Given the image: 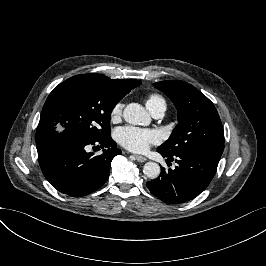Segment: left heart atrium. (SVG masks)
<instances>
[{
    "label": "left heart atrium",
    "instance_id": "1",
    "mask_svg": "<svg viewBox=\"0 0 266 266\" xmlns=\"http://www.w3.org/2000/svg\"><path fill=\"white\" fill-rule=\"evenodd\" d=\"M115 138L120 145L133 152H145L161 140V134L155 129L135 126H123L116 129Z\"/></svg>",
    "mask_w": 266,
    "mask_h": 266
}]
</instances>
